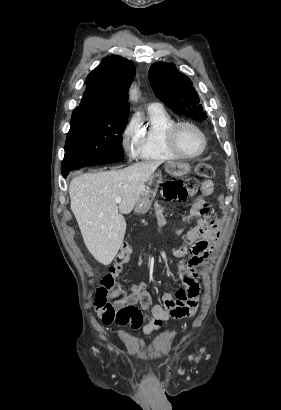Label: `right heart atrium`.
<instances>
[{
    "mask_svg": "<svg viewBox=\"0 0 281 410\" xmlns=\"http://www.w3.org/2000/svg\"><path fill=\"white\" fill-rule=\"evenodd\" d=\"M140 136V121L138 117L132 116L125 123L121 132V144L129 157L137 156V145Z\"/></svg>",
    "mask_w": 281,
    "mask_h": 410,
    "instance_id": "1",
    "label": "right heart atrium"
}]
</instances>
